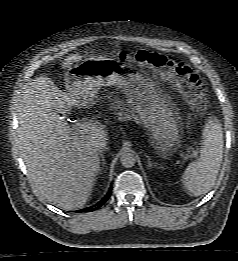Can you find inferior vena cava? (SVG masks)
I'll use <instances>...</instances> for the list:
<instances>
[{
  "instance_id": "1",
  "label": "inferior vena cava",
  "mask_w": 238,
  "mask_h": 261,
  "mask_svg": "<svg viewBox=\"0 0 238 261\" xmlns=\"http://www.w3.org/2000/svg\"><path fill=\"white\" fill-rule=\"evenodd\" d=\"M96 149L99 153H101L103 150L107 149L106 147V143H99L97 146H96Z\"/></svg>"
}]
</instances>
